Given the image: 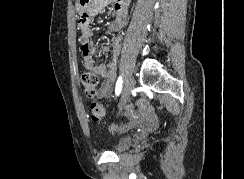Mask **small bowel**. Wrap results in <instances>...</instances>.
Returning a JSON list of instances; mask_svg holds the SVG:
<instances>
[{
  "label": "small bowel",
  "mask_w": 244,
  "mask_h": 179,
  "mask_svg": "<svg viewBox=\"0 0 244 179\" xmlns=\"http://www.w3.org/2000/svg\"><path fill=\"white\" fill-rule=\"evenodd\" d=\"M87 4L89 8L86 9V18H79L78 21L82 62L86 69L103 79L97 95L99 98L105 99L111 95L116 78L117 61L121 50L122 31L127 20V4L123 1L111 2L109 0H92V3ZM109 5H112L113 20L108 26V32L116 33L117 36L109 45L93 47L90 44V39L93 34L91 21ZM108 51H111L112 59L108 63H97L96 58ZM136 114V116L130 117L131 121H136V123L144 126H158L156 116H150V112L147 109L137 110Z\"/></svg>",
  "instance_id": "1"
}]
</instances>
